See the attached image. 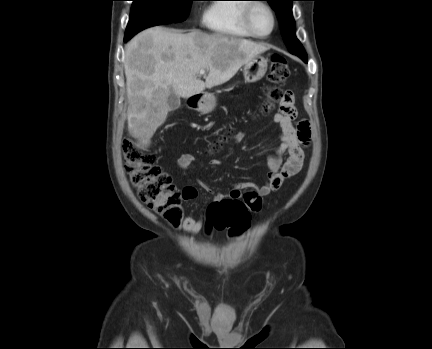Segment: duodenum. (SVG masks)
Wrapping results in <instances>:
<instances>
[{"instance_id": "duodenum-1", "label": "duodenum", "mask_w": 432, "mask_h": 349, "mask_svg": "<svg viewBox=\"0 0 432 349\" xmlns=\"http://www.w3.org/2000/svg\"><path fill=\"white\" fill-rule=\"evenodd\" d=\"M198 101H199V98H198V97H192V98L190 99V104H191V106L195 107Z\"/></svg>"}]
</instances>
